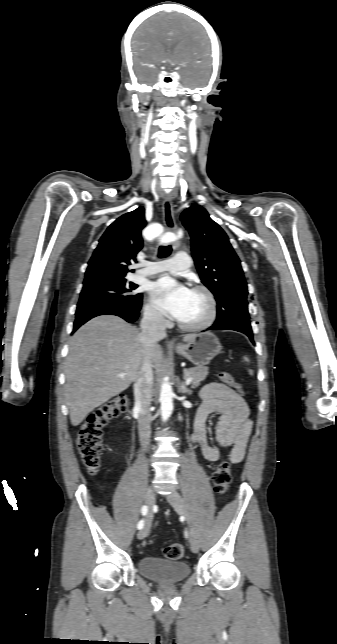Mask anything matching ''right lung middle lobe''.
Instances as JSON below:
<instances>
[{
  "label": "right lung middle lobe",
  "instance_id": "obj_1",
  "mask_svg": "<svg viewBox=\"0 0 337 644\" xmlns=\"http://www.w3.org/2000/svg\"><path fill=\"white\" fill-rule=\"evenodd\" d=\"M136 288V284L127 283L125 278H99L84 281L75 314L133 305L142 298L141 293H133Z\"/></svg>",
  "mask_w": 337,
  "mask_h": 644
}]
</instances>
